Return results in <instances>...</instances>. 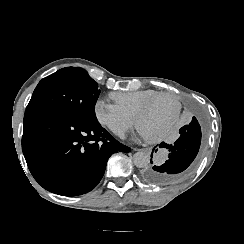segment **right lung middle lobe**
<instances>
[{
	"instance_id": "1",
	"label": "right lung middle lobe",
	"mask_w": 244,
	"mask_h": 244,
	"mask_svg": "<svg viewBox=\"0 0 244 244\" xmlns=\"http://www.w3.org/2000/svg\"><path fill=\"white\" fill-rule=\"evenodd\" d=\"M98 84L80 67H66L42 79L26 109L56 110L85 121H96Z\"/></svg>"
}]
</instances>
